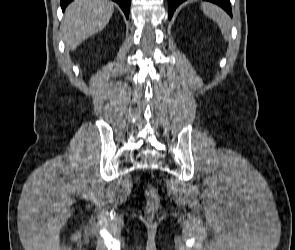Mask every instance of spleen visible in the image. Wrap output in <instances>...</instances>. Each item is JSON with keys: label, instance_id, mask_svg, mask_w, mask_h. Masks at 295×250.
<instances>
[{"label": "spleen", "instance_id": "3e777b00", "mask_svg": "<svg viewBox=\"0 0 295 250\" xmlns=\"http://www.w3.org/2000/svg\"><path fill=\"white\" fill-rule=\"evenodd\" d=\"M201 8L206 16L217 22L225 40H228L230 38L231 25L230 18L225 11L216 5L206 2L201 4Z\"/></svg>", "mask_w": 295, "mask_h": 250}]
</instances>
